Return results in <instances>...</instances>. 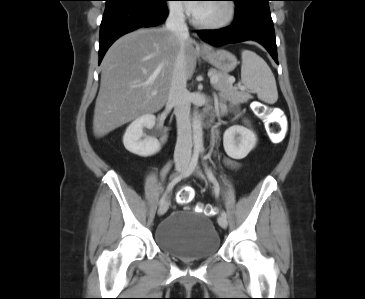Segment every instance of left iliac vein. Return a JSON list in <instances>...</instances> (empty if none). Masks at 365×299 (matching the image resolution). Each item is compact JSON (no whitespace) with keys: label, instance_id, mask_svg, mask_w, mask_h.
<instances>
[{"label":"left iliac vein","instance_id":"1","mask_svg":"<svg viewBox=\"0 0 365 299\" xmlns=\"http://www.w3.org/2000/svg\"><path fill=\"white\" fill-rule=\"evenodd\" d=\"M218 224L222 227V228H226L227 225H228V222H227V218L223 215H220L218 217Z\"/></svg>","mask_w":365,"mask_h":299}]
</instances>
